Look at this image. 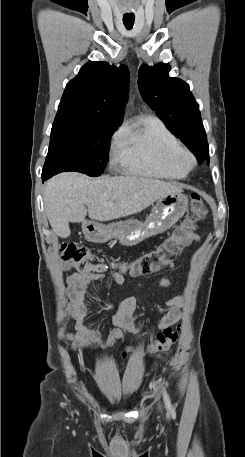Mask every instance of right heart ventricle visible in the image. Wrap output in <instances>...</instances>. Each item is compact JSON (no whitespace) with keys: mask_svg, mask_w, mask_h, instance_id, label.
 <instances>
[{"mask_svg":"<svg viewBox=\"0 0 245 457\" xmlns=\"http://www.w3.org/2000/svg\"><path fill=\"white\" fill-rule=\"evenodd\" d=\"M180 146L178 138L163 121L147 117L126 125L113 151L118 159L142 174L177 180L184 178L188 171L165 162L163 157Z\"/></svg>","mask_w":245,"mask_h":457,"instance_id":"right-heart-ventricle-1","label":"right heart ventricle"}]
</instances>
